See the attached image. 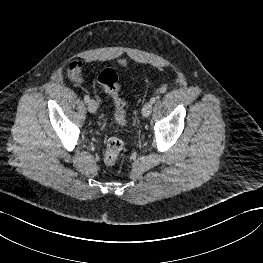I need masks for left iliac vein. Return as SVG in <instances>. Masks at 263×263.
Returning <instances> with one entry per match:
<instances>
[{"label": "left iliac vein", "instance_id": "1", "mask_svg": "<svg viewBox=\"0 0 263 263\" xmlns=\"http://www.w3.org/2000/svg\"><path fill=\"white\" fill-rule=\"evenodd\" d=\"M152 103L151 102H147L144 106H143V109H142V115L144 117H148L151 112H152Z\"/></svg>", "mask_w": 263, "mask_h": 263}]
</instances>
